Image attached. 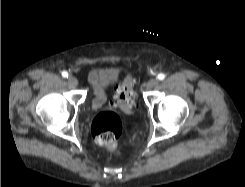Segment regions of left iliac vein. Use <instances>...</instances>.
<instances>
[{"label":"left iliac vein","mask_w":245,"mask_h":187,"mask_svg":"<svg viewBox=\"0 0 245 187\" xmlns=\"http://www.w3.org/2000/svg\"><path fill=\"white\" fill-rule=\"evenodd\" d=\"M158 79L157 78H151L147 84H146V88L147 89H152L154 88L157 84H158Z\"/></svg>","instance_id":"left-iliac-vein-1"}]
</instances>
